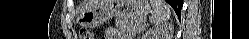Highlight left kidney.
Instances as JSON below:
<instances>
[{"instance_id": "left-kidney-1", "label": "left kidney", "mask_w": 249, "mask_h": 39, "mask_svg": "<svg viewBox=\"0 0 249 39\" xmlns=\"http://www.w3.org/2000/svg\"><path fill=\"white\" fill-rule=\"evenodd\" d=\"M157 37V33L154 32H148L143 36V39H153L154 37Z\"/></svg>"}]
</instances>
